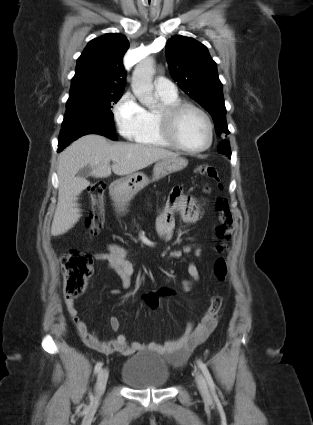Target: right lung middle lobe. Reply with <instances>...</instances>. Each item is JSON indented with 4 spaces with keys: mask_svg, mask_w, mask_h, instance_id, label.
Masks as SVG:
<instances>
[{
    "mask_svg": "<svg viewBox=\"0 0 313 425\" xmlns=\"http://www.w3.org/2000/svg\"><path fill=\"white\" fill-rule=\"evenodd\" d=\"M122 94L123 92H105L70 95L66 103L64 117H68L72 112H83L97 114L105 119L113 120L114 116L110 109L113 108V103L118 102Z\"/></svg>",
    "mask_w": 313,
    "mask_h": 425,
    "instance_id": "right-lung-middle-lobe-1",
    "label": "right lung middle lobe"
}]
</instances>
